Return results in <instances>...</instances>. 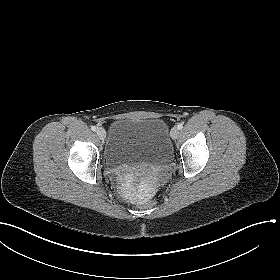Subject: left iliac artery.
I'll list each match as a JSON object with an SVG mask.
<instances>
[{"instance_id":"obj_1","label":"left iliac artery","mask_w":280,"mask_h":280,"mask_svg":"<svg viewBox=\"0 0 280 280\" xmlns=\"http://www.w3.org/2000/svg\"><path fill=\"white\" fill-rule=\"evenodd\" d=\"M177 128H178L179 130H181V129L183 128V124H182V123H179V124L177 125Z\"/></svg>"}]
</instances>
